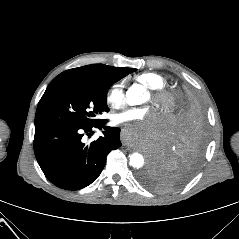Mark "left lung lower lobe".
I'll use <instances>...</instances> for the list:
<instances>
[{"mask_svg":"<svg viewBox=\"0 0 239 239\" xmlns=\"http://www.w3.org/2000/svg\"><path fill=\"white\" fill-rule=\"evenodd\" d=\"M175 117L152 154L149 169L166 179L169 189L185 184L195 173L206 141V122L199 97L178 100Z\"/></svg>","mask_w":239,"mask_h":239,"instance_id":"0a47b994","label":"left lung lower lobe"}]
</instances>
